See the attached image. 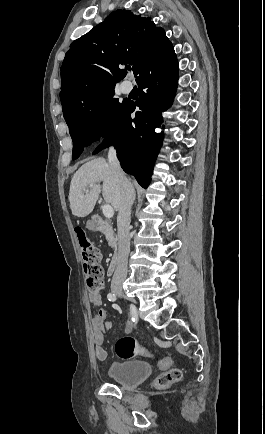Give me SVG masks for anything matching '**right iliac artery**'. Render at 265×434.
I'll return each mask as SVG.
<instances>
[{"label":"right iliac artery","instance_id":"82829eb1","mask_svg":"<svg viewBox=\"0 0 265 434\" xmlns=\"http://www.w3.org/2000/svg\"><path fill=\"white\" fill-rule=\"evenodd\" d=\"M107 298H108L109 301H112V302H114V301L117 300V296L114 293H109L107 295ZM131 314H132V319L133 320L137 319V311H136V308L133 307V306H131Z\"/></svg>","mask_w":265,"mask_h":434}]
</instances>
